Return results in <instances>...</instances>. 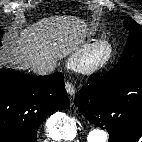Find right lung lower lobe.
Listing matches in <instances>:
<instances>
[{
	"label": "right lung lower lobe",
	"instance_id": "98d812e1",
	"mask_svg": "<svg viewBox=\"0 0 142 142\" xmlns=\"http://www.w3.org/2000/svg\"><path fill=\"white\" fill-rule=\"evenodd\" d=\"M68 106L62 73L31 76L0 69V142H36L47 115Z\"/></svg>",
	"mask_w": 142,
	"mask_h": 142
}]
</instances>
